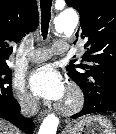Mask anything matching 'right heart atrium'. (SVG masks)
Wrapping results in <instances>:
<instances>
[{"mask_svg":"<svg viewBox=\"0 0 116 134\" xmlns=\"http://www.w3.org/2000/svg\"><path fill=\"white\" fill-rule=\"evenodd\" d=\"M13 97L20 106V108L25 112H34L37 107V101L34 97L26 92L21 84L13 85Z\"/></svg>","mask_w":116,"mask_h":134,"instance_id":"obj_1","label":"right heart atrium"}]
</instances>
